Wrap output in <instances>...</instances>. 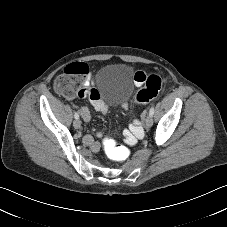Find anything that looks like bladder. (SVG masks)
Here are the masks:
<instances>
[{
    "mask_svg": "<svg viewBox=\"0 0 227 227\" xmlns=\"http://www.w3.org/2000/svg\"><path fill=\"white\" fill-rule=\"evenodd\" d=\"M101 81L98 84L99 92L107 87V92L118 102H127L134 89L131 76V67L128 65H111L100 71ZM102 98L107 101L105 95Z\"/></svg>",
    "mask_w": 227,
    "mask_h": 227,
    "instance_id": "bladder-1",
    "label": "bladder"
}]
</instances>
